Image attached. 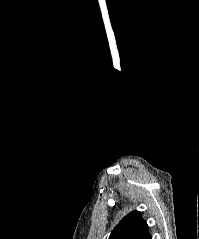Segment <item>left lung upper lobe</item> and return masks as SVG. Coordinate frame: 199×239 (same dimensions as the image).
<instances>
[{"label":"left lung upper lobe","mask_w":199,"mask_h":239,"mask_svg":"<svg viewBox=\"0 0 199 239\" xmlns=\"http://www.w3.org/2000/svg\"><path fill=\"white\" fill-rule=\"evenodd\" d=\"M108 239H152V237L141 213L132 211L116 225Z\"/></svg>","instance_id":"1"}]
</instances>
